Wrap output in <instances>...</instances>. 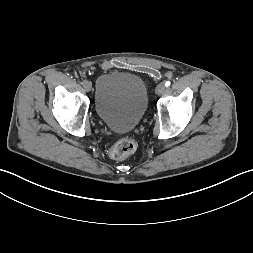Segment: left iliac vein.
Segmentation results:
<instances>
[{"mask_svg":"<svg viewBox=\"0 0 253 253\" xmlns=\"http://www.w3.org/2000/svg\"><path fill=\"white\" fill-rule=\"evenodd\" d=\"M166 89V86L164 83H160L157 85L156 89H155V92L157 95H161Z\"/></svg>","mask_w":253,"mask_h":253,"instance_id":"1","label":"left iliac vein"}]
</instances>
